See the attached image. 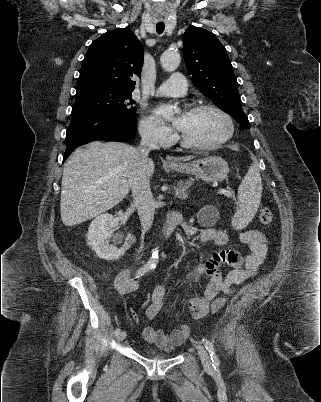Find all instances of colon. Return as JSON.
<instances>
[{
    "label": "colon",
    "instance_id": "1",
    "mask_svg": "<svg viewBox=\"0 0 321 402\" xmlns=\"http://www.w3.org/2000/svg\"><path fill=\"white\" fill-rule=\"evenodd\" d=\"M259 220L263 225H269L273 221V213L270 208H263L259 215ZM211 300L201 301L196 309L195 314H203L207 311ZM133 317L137 319V315L133 313Z\"/></svg>",
    "mask_w": 321,
    "mask_h": 402
}]
</instances>
